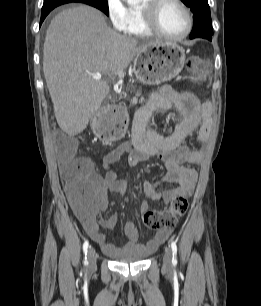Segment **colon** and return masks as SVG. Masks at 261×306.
Instances as JSON below:
<instances>
[{
  "label": "colon",
  "instance_id": "1",
  "mask_svg": "<svg viewBox=\"0 0 261 306\" xmlns=\"http://www.w3.org/2000/svg\"><path fill=\"white\" fill-rule=\"evenodd\" d=\"M186 68L192 83L203 81L209 73V65L206 60L191 57L187 60ZM102 124V135L109 139H118L124 132V115L121 107L117 106L109 114L99 117ZM62 157L67 161L62 169V175L66 181L67 189L74 207L80 208L89 202L94 196L90 185L91 167L83 160L73 157L74 141L63 137L59 144ZM188 209V200L185 196H177L167 210H145L143 223L154 230L171 228Z\"/></svg>",
  "mask_w": 261,
  "mask_h": 306
}]
</instances>
